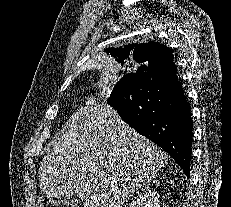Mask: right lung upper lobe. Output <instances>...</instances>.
Listing matches in <instances>:
<instances>
[{
    "label": "right lung upper lobe",
    "mask_w": 231,
    "mask_h": 207,
    "mask_svg": "<svg viewBox=\"0 0 231 207\" xmlns=\"http://www.w3.org/2000/svg\"><path fill=\"white\" fill-rule=\"evenodd\" d=\"M105 52L113 57L115 65L122 67L134 61L141 64L140 67L156 64L169 69L175 66L172 50L158 42L150 41L143 44H128L117 48L111 47L106 49Z\"/></svg>",
    "instance_id": "right-lung-upper-lobe-1"
}]
</instances>
